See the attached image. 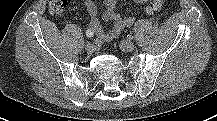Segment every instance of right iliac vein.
I'll return each instance as SVG.
<instances>
[{
  "instance_id": "right-iliac-vein-1",
  "label": "right iliac vein",
  "mask_w": 217,
  "mask_h": 121,
  "mask_svg": "<svg viewBox=\"0 0 217 121\" xmlns=\"http://www.w3.org/2000/svg\"><path fill=\"white\" fill-rule=\"evenodd\" d=\"M85 49H86L87 53L92 54L95 51L96 46L93 43H88L86 45Z\"/></svg>"
}]
</instances>
